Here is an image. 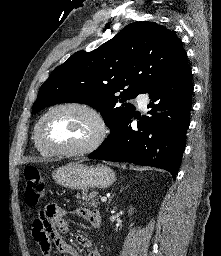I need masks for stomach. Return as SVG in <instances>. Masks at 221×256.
Wrapping results in <instances>:
<instances>
[{
	"instance_id": "0dacf381",
	"label": "stomach",
	"mask_w": 221,
	"mask_h": 256,
	"mask_svg": "<svg viewBox=\"0 0 221 256\" xmlns=\"http://www.w3.org/2000/svg\"><path fill=\"white\" fill-rule=\"evenodd\" d=\"M52 177L58 185L83 191L92 188L106 189L116 180L113 170L105 165L87 166L79 162L58 167Z\"/></svg>"
}]
</instances>
